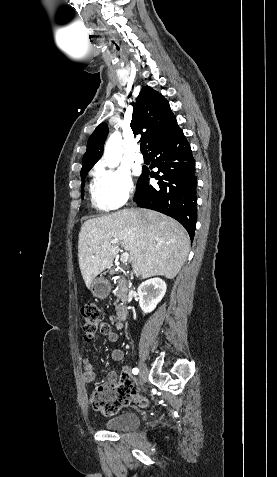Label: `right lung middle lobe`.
I'll use <instances>...</instances> for the list:
<instances>
[{
    "label": "right lung middle lobe",
    "mask_w": 277,
    "mask_h": 477,
    "mask_svg": "<svg viewBox=\"0 0 277 477\" xmlns=\"http://www.w3.org/2000/svg\"><path fill=\"white\" fill-rule=\"evenodd\" d=\"M90 169H91V168L85 169V170H81V174H80V175H81V180H82V189H81V196H82V197H83V188H84V183H83V181H84V179H85V177H86L87 172H88Z\"/></svg>",
    "instance_id": "dd1d6c3e"
}]
</instances>
